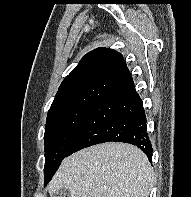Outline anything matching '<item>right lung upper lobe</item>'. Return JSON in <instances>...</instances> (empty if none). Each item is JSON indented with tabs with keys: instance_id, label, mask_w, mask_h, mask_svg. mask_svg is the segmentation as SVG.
Segmentation results:
<instances>
[{
	"instance_id": "1",
	"label": "right lung upper lobe",
	"mask_w": 191,
	"mask_h": 197,
	"mask_svg": "<svg viewBox=\"0 0 191 197\" xmlns=\"http://www.w3.org/2000/svg\"><path fill=\"white\" fill-rule=\"evenodd\" d=\"M132 79L122 54L108 48L87 53L61 83L48 116L95 105L109 91Z\"/></svg>"
}]
</instances>
